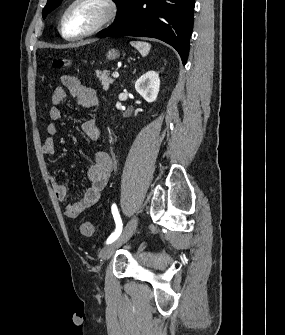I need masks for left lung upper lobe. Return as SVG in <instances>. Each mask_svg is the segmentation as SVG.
I'll use <instances>...</instances> for the list:
<instances>
[{"mask_svg": "<svg viewBox=\"0 0 285 335\" xmlns=\"http://www.w3.org/2000/svg\"><path fill=\"white\" fill-rule=\"evenodd\" d=\"M61 1H62V0H48L47 4H46V6H45V8L43 9V12H42L43 18H45L46 15H47L51 10H53L55 7H57V6L60 4ZM114 1H115V2L117 3V5H118L122 0H114Z\"/></svg>", "mask_w": 285, "mask_h": 335, "instance_id": "1", "label": "left lung upper lobe"}]
</instances>
